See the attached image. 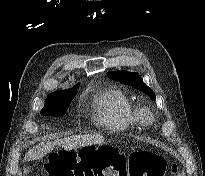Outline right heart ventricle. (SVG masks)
<instances>
[{
	"instance_id": "obj_1",
	"label": "right heart ventricle",
	"mask_w": 205,
	"mask_h": 176,
	"mask_svg": "<svg viewBox=\"0 0 205 176\" xmlns=\"http://www.w3.org/2000/svg\"><path fill=\"white\" fill-rule=\"evenodd\" d=\"M98 119L102 125L121 132L138 123L137 109L120 89L110 87L96 97Z\"/></svg>"
}]
</instances>
